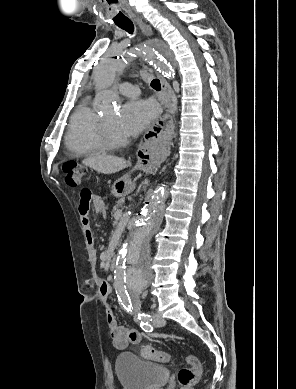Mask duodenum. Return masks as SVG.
<instances>
[{
	"mask_svg": "<svg viewBox=\"0 0 296 389\" xmlns=\"http://www.w3.org/2000/svg\"><path fill=\"white\" fill-rule=\"evenodd\" d=\"M115 259H116V257L113 255L112 257H111V259H110V269L111 270H113L114 269V267H115Z\"/></svg>",
	"mask_w": 296,
	"mask_h": 389,
	"instance_id": "1",
	"label": "duodenum"
}]
</instances>
